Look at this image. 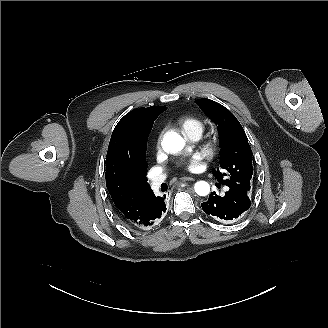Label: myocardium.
I'll list each match as a JSON object with an SVG mask.
<instances>
[{
  "mask_svg": "<svg viewBox=\"0 0 328 328\" xmlns=\"http://www.w3.org/2000/svg\"><path fill=\"white\" fill-rule=\"evenodd\" d=\"M223 146V135L218 128H212L204 132L198 139H188L185 151L191 153L196 151L199 156L207 162L213 163L217 160Z\"/></svg>",
  "mask_w": 328,
  "mask_h": 328,
  "instance_id": "1",
  "label": "myocardium"
}]
</instances>
